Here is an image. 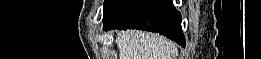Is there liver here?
<instances>
[{"instance_id": "6515ba94", "label": "liver", "mask_w": 261, "mask_h": 59, "mask_svg": "<svg viewBox=\"0 0 261 59\" xmlns=\"http://www.w3.org/2000/svg\"><path fill=\"white\" fill-rule=\"evenodd\" d=\"M120 59H176L177 45L161 36L142 31H121L115 40Z\"/></svg>"}]
</instances>
